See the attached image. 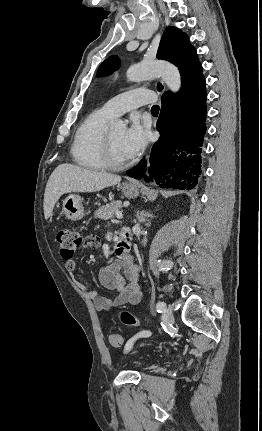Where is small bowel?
<instances>
[{
    "label": "small bowel",
    "instance_id": "obj_1",
    "mask_svg": "<svg viewBox=\"0 0 262 431\" xmlns=\"http://www.w3.org/2000/svg\"><path fill=\"white\" fill-rule=\"evenodd\" d=\"M65 268L70 273H73L76 269L75 261H66ZM138 273V266L131 255L116 258L100 270L99 281L101 285L105 290L112 291L115 294L111 299L101 296L83 283L76 281V286L94 302L96 309L110 312L120 305H134L140 301L141 285L138 280ZM139 338H144L142 332L137 333L130 341L133 343Z\"/></svg>",
    "mask_w": 262,
    "mask_h": 431
}]
</instances>
